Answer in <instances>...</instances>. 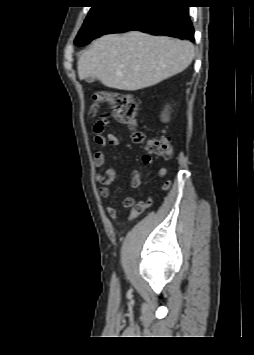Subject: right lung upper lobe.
<instances>
[{
	"mask_svg": "<svg viewBox=\"0 0 254 355\" xmlns=\"http://www.w3.org/2000/svg\"><path fill=\"white\" fill-rule=\"evenodd\" d=\"M96 3H102V2H117V3H127V2H131L134 0H94Z\"/></svg>",
	"mask_w": 254,
	"mask_h": 355,
	"instance_id": "1",
	"label": "right lung upper lobe"
}]
</instances>
